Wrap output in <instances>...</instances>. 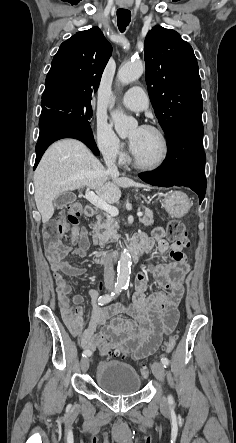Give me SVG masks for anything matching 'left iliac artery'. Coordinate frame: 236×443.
Returning a JSON list of instances; mask_svg holds the SVG:
<instances>
[{"mask_svg": "<svg viewBox=\"0 0 236 443\" xmlns=\"http://www.w3.org/2000/svg\"><path fill=\"white\" fill-rule=\"evenodd\" d=\"M124 289L126 290V289H127V286L124 287ZM161 363H162L163 366L166 368V367L169 365V360H168L166 357H162V358H161ZM168 400H169L170 402H172V401H173V397H172L171 395H169V396H168Z\"/></svg>", "mask_w": 236, "mask_h": 443, "instance_id": "1", "label": "left iliac artery"}]
</instances>
